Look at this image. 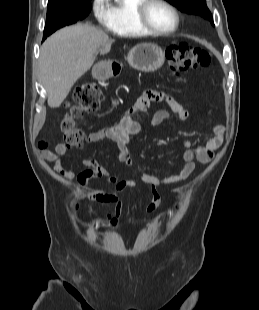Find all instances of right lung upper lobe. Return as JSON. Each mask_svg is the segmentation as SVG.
Instances as JSON below:
<instances>
[{
    "instance_id": "right-lung-upper-lobe-1",
    "label": "right lung upper lobe",
    "mask_w": 259,
    "mask_h": 310,
    "mask_svg": "<svg viewBox=\"0 0 259 310\" xmlns=\"http://www.w3.org/2000/svg\"><path fill=\"white\" fill-rule=\"evenodd\" d=\"M90 0H48V6H55L61 4H71V3H81L87 2Z\"/></svg>"
}]
</instances>
